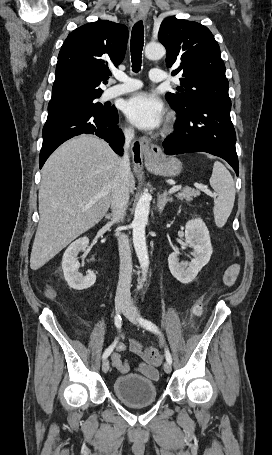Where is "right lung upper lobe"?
<instances>
[{
	"label": "right lung upper lobe",
	"mask_w": 272,
	"mask_h": 455,
	"mask_svg": "<svg viewBox=\"0 0 272 455\" xmlns=\"http://www.w3.org/2000/svg\"><path fill=\"white\" fill-rule=\"evenodd\" d=\"M127 42V27L108 20L71 32L58 55L50 102L102 94L101 81L109 78V68L122 62Z\"/></svg>",
	"instance_id": "cb5924a9"
}]
</instances>
